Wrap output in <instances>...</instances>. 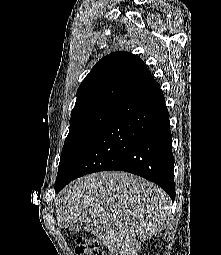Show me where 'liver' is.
I'll list each match as a JSON object with an SVG mask.
<instances>
[{"mask_svg":"<svg viewBox=\"0 0 221 255\" xmlns=\"http://www.w3.org/2000/svg\"><path fill=\"white\" fill-rule=\"evenodd\" d=\"M55 205L59 227L80 220L112 255H138L171 212L170 198L160 187L115 171L78 178L60 192Z\"/></svg>","mask_w":221,"mask_h":255,"instance_id":"1","label":"liver"}]
</instances>
